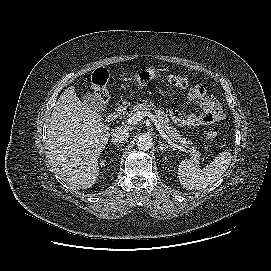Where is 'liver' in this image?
<instances>
[{"label":"liver","mask_w":271,"mask_h":271,"mask_svg":"<svg viewBox=\"0 0 271 271\" xmlns=\"http://www.w3.org/2000/svg\"><path fill=\"white\" fill-rule=\"evenodd\" d=\"M109 130L101 115L81 102L73 86L59 96L48 127L47 149L52 167L69 186L86 189L96 183Z\"/></svg>","instance_id":"6515ba94"}]
</instances>
